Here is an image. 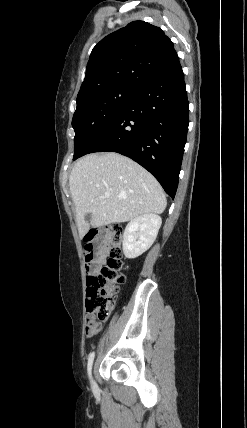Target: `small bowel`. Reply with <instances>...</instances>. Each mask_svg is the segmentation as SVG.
<instances>
[{"instance_id":"1","label":"small bowel","mask_w":247,"mask_h":428,"mask_svg":"<svg viewBox=\"0 0 247 428\" xmlns=\"http://www.w3.org/2000/svg\"><path fill=\"white\" fill-rule=\"evenodd\" d=\"M97 270H98V268H97V267H96V268H94V269L92 270V273H96V272H97ZM101 329H102V325H101V324H98V325H97V327H96V330H95L92 334H87V335L90 337V336H92V335H94V334L98 333Z\"/></svg>"}]
</instances>
